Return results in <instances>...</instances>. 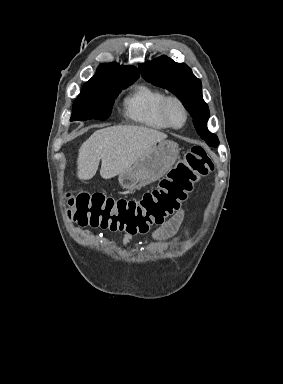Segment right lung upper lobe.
Returning <instances> with one entry per match:
<instances>
[{"label":"right lung upper lobe","mask_w":283,"mask_h":384,"mask_svg":"<svg viewBox=\"0 0 283 384\" xmlns=\"http://www.w3.org/2000/svg\"><path fill=\"white\" fill-rule=\"evenodd\" d=\"M139 72L134 66H123L117 63L101 64L96 74L83 85L82 89L113 83L134 82Z\"/></svg>","instance_id":"cb5924a9"}]
</instances>
